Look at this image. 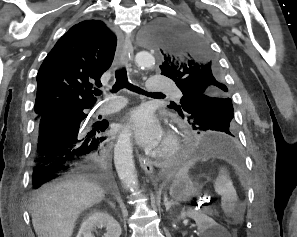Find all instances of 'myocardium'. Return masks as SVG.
<instances>
[{
	"instance_id": "1",
	"label": "myocardium",
	"mask_w": 297,
	"mask_h": 237,
	"mask_svg": "<svg viewBox=\"0 0 297 237\" xmlns=\"http://www.w3.org/2000/svg\"><path fill=\"white\" fill-rule=\"evenodd\" d=\"M181 149L179 135L172 130H167L164 134L162 144L155 152V156L161 160L172 159Z\"/></svg>"
}]
</instances>
